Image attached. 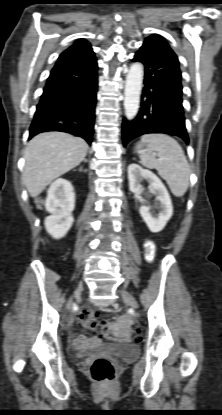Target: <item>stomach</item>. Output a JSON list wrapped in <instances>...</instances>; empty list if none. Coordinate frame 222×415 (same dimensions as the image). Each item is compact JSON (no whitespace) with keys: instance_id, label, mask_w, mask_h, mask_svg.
I'll return each instance as SVG.
<instances>
[{"instance_id":"obj_1","label":"stomach","mask_w":222,"mask_h":415,"mask_svg":"<svg viewBox=\"0 0 222 415\" xmlns=\"http://www.w3.org/2000/svg\"><path fill=\"white\" fill-rule=\"evenodd\" d=\"M145 149L146 145L143 142H139L135 147V152L140 154Z\"/></svg>"}]
</instances>
